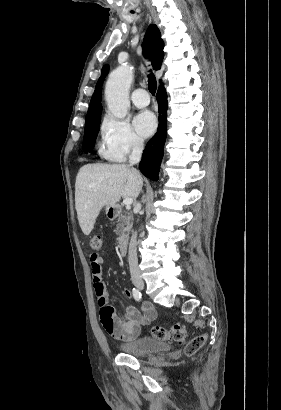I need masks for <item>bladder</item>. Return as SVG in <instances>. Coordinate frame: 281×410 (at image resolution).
<instances>
[{
    "mask_svg": "<svg viewBox=\"0 0 281 410\" xmlns=\"http://www.w3.org/2000/svg\"><path fill=\"white\" fill-rule=\"evenodd\" d=\"M122 353L132 356H147L155 353H164L170 350V345L152 337L142 336L132 342L119 346Z\"/></svg>",
    "mask_w": 281,
    "mask_h": 410,
    "instance_id": "obj_1",
    "label": "bladder"
}]
</instances>
